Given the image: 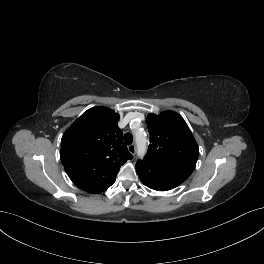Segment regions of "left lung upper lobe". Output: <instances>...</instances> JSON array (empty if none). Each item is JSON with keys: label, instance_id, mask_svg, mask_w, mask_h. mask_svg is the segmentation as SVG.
<instances>
[{"label": "left lung upper lobe", "instance_id": "obj_1", "mask_svg": "<svg viewBox=\"0 0 264 264\" xmlns=\"http://www.w3.org/2000/svg\"><path fill=\"white\" fill-rule=\"evenodd\" d=\"M146 123L150 145L136 171L145 165L162 168L166 174L184 182L193 172L199 154L198 145L184 119L173 111L149 114Z\"/></svg>", "mask_w": 264, "mask_h": 264}]
</instances>
